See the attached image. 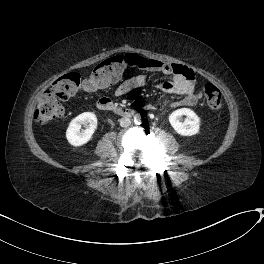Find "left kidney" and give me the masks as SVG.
I'll return each mask as SVG.
<instances>
[{
    "instance_id": "1",
    "label": "left kidney",
    "mask_w": 264,
    "mask_h": 264,
    "mask_svg": "<svg viewBox=\"0 0 264 264\" xmlns=\"http://www.w3.org/2000/svg\"><path fill=\"white\" fill-rule=\"evenodd\" d=\"M183 116L185 117L182 121ZM169 122L173 129L182 136H192L199 132L200 118L189 108H181L169 115Z\"/></svg>"
}]
</instances>
